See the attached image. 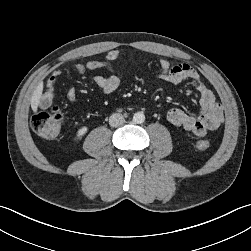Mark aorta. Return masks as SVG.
<instances>
[{"instance_id":"762f6f07","label":"aorta","mask_w":251,"mask_h":251,"mask_svg":"<svg viewBox=\"0 0 251 251\" xmlns=\"http://www.w3.org/2000/svg\"><path fill=\"white\" fill-rule=\"evenodd\" d=\"M145 120V115L143 112H137L133 115V121L137 124L143 123Z\"/></svg>"}]
</instances>
